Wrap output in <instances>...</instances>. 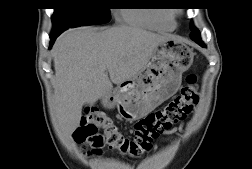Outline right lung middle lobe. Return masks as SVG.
Segmentation results:
<instances>
[{
	"mask_svg": "<svg viewBox=\"0 0 252 169\" xmlns=\"http://www.w3.org/2000/svg\"><path fill=\"white\" fill-rule=\"evenodd\" d=\"M108 0H55L53 31L110 21ZM52 31V32H53Z\"/></svg>",
	"mask_w": 252,
	"mask_h": 169,
	"instance_id": "dd1d6c3e",
	"label": "right lung middle lobe"
}]
</instances>
